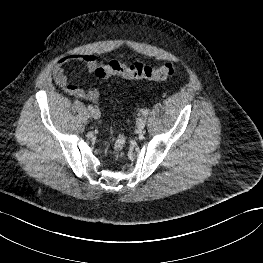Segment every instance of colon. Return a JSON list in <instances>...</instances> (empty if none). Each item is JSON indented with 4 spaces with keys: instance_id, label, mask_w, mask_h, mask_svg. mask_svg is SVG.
I'll return each mask as SVG.
<instances>
[{
    "instance_id": "colon-1",
    "label": "colon",
    "mask_w": 263,
    "mask_h": 263,
    "mask_svg": "<svg viewBox=\"0 0 263 263\" xmlns=\"http://www.w3.org/2000/svg\"><path fill=\"white\" fill-rule=\"evenodd\" d=\"M175 72L173 63L165 62L158 66H148L142 63L125 64L117 60L99 66L95 73L97 77L106 79L118 76L129 80L162 81L172 76ZM126 145V135L119 134L111 149L114 156L119 155Z\"/></svg>"
}]
</instances>
